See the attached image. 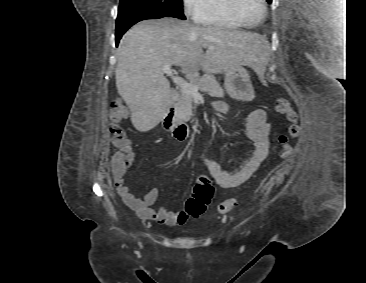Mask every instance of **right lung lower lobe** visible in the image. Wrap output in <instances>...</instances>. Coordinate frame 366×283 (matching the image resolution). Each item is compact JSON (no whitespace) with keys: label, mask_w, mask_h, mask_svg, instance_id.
Returning a JSON list of instances; mask_svg holds the SVG:
<instances>
[{"label":"right lung lower lobe","mask_w":366,"mask_h":283,"mask_svg":"<svg viewBox=\"0 0 366 283\" xmlns=\"http://www.w3.org/2000/svg\"><path fill=\"white\" fill-rule=\"evenodd\" d=\"M162 17H166L163 15H156V14H139L135 16H128V17H122L120 19H117V25H116V46H118L119 40L122 37V35L135 23L146 20V19H159Z\"/></svg>","instance_id":"obj_1"}]
</instances>
